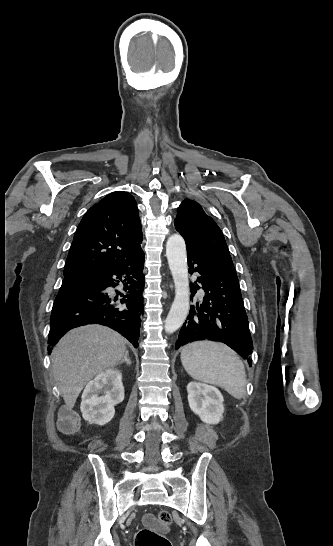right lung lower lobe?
<instances>
[{
	"mask_svg": "<svg viewBox=\"0 0 333 546\" xmlns=\"http://www.w3.org/2000/svg\"><path fill=\"white\" fill-rule=\"evenodd\" d=\"M143 265L142 251L123 265L65 277L51 312L48 347L72 328L101 324L118 331L137 348L144 310ZM118 285L123 290H116L113 297L107 289Z\"/></svg>",
	"mask_w": 333,
	"mask_h": 546,
	"instance_id": "98d812e1",
	"label": "right lung lower lobe"
}]
</instances>
